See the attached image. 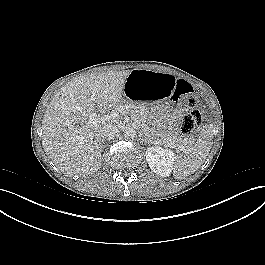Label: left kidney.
Here are the masks:
<instances>
[{
	"label": "left kidney",
	"mask_w": 265,
	"mask_h": 265,
	"mask_svg": "<svg viewBox=\"0 0 265 265\" xmlns=\"http://www.w3.org/2000/svg\"><path fill=\"white\" fill-rule=\"evenodd\" d=\"M174 159V153L168 149L152 146L146 150V160L150 169L163 177H167L171 173Z\"/></svg>",
	"instance_id": "1"
}]
</instances>
